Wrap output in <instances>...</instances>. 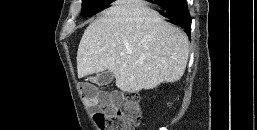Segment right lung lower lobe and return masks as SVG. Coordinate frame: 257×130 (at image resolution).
<instances>
[{
  "label": "right lung lower lobe",
  "mask_w": 257,
  "mask_h": 130,
  "mask_svg": "<svg viewBox=\"0 0 257 130\" xmlns=\"http://www.w3.org/2000/svg\"><path fill=\"white\" fill-rule=\"evenodd\" d=\"M152 3L157 4L163 9L162 15L167 18L168 22L187 30L190 35L191 17L186 0H162Z\"/></svg>",
  "instance_id": "obj_1"
}]
</instances>
